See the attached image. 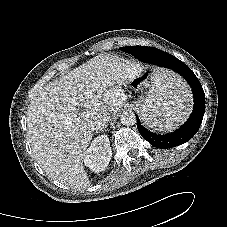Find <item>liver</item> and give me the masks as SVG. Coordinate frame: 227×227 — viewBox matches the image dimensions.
Masks as SVG:
<instances>
[{
	"label": "liver",
	"instance_id": "liver-1",
	"mask_svg": "<svg viewBox=\"0 0 227 227\" xmlns=\"http://www.w3.org/2000/svg\"><path fill=\"white\" fill-rule=\"evenodd\" d=\"M135 77V67L117 56L99 55L44 86L27 110V136L45 173L72 189L90 187L83 166L97 122L122 104L120 88ZM191 96L187 98L188 110ZM103 128V127H102Z\"/></svg>",
	"mask_w": 227,
	"mask_h": 227
}]
</instances>
